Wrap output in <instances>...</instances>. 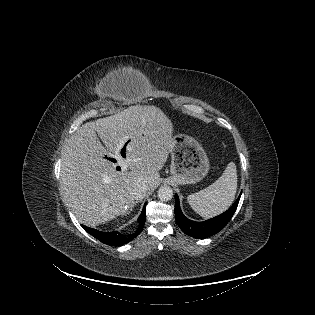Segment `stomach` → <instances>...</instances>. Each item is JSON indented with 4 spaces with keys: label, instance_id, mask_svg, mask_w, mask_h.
Here are the masks:
<instances>
[{
    "label": "stomach",
    "instance_id": "1",
    "mask_svg": "<svg viewBox=\"0 0 315 315\" xmlns=\"http://www.w3.org/2000/svg\"><path fill=\"white\" fill-rule=\"evenodd\" d=\"M170 172L178 184H194L201 181L209 170V160L197 140L186 134L173 137Z\"/></svg>",
    "mask_w": 315,
    "mask_h": 315
}]
</instances>
